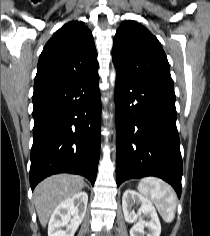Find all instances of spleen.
Wrapping results in <instances>:
<instances>
[{
  "instance_id": "3e777b00",
  "label": "spleen",
  "mask_w": 210,
  "mask_h": 236,
  "mask_svg": "<svg viewBox=\"0 0 210 236\" xmlns=\"http://www.w3.org/2000/svg\"><path fill=\"white\" fill-rule=\"evenodd\" d=\"M137 189L155 204L165 222L173 221L176 211V194L167 183L156 177H145L140 180Z\"/></svg>"
}]
</instances>
